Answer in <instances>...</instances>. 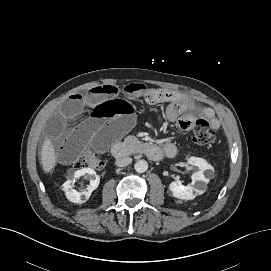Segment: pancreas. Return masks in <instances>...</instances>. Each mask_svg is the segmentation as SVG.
<instances>
[{
  "label": "pancreas",
  "mask_w": 271,
  "mask_h": 271,
  "mask_svg": "<svg viewBox=\"0 0 271 271\" xmlns=\"http://www.w3.org/2000/svg\"><path fill=\"white\" fill-rule=\"evenodd\" d=\"M125 143L131 148L138 149L141 145V142L135 136H127L125 138Z\"/></svg>",
  "instance_id": "cf45deb5"
}]
</instances>
